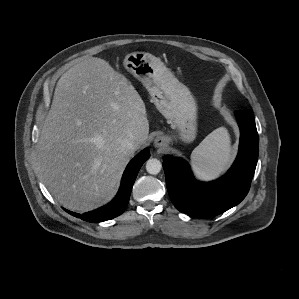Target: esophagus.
<instances>
[{"label": "esophagus", "mask_w": 299, "mask_h": 299, "mask_svg": "<svg viewBox=\"0 0 299 299\" xmlns=\"http://www.w3.org/2000/svg\"><path fill=\"white\" fill-rule=\"evenodd\" d=\"M154 145L157 148H164L166 146V139L162 136H158L154 141Z\"/></svg>", "instance_id": "esophagus-1"}]
</instances>
